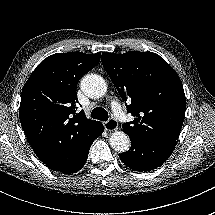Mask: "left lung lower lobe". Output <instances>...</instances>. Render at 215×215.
<instances>
[{"mask_svg":"<svg viewBox=\"0 0 215 215\" xmlns=\"http://www.w3.org/2000/svg\"><path fill=\"white\" fill-rule=\"evenodd\" d=\"M131 147L120 154L121 161L129 168L143 172L162 165L173 152L176 141H149L130 137Z\"/></svg>","mask_w":215,"mask_h":215,"instance_id":"obj_1","label":"left lung lower lobe"}]
</instances>
